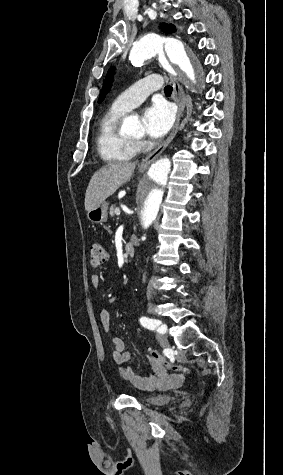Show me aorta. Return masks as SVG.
<instances>
[{
	"label": "aorta",
	"mask_w": 283,
	"mask_h": 475,
	"mask_svg": "<svg viewBox=\"0 0 283 475\" xmlns=\"http://www.w3.org/2000/svg\"><path fill=\"white\" fill-rule=\"evenodd\" d=\"M165 50L171 63L175 64L192 81L196 82L194 66L186 54L184 45L177 39L148 34L136 42L130 51V60L134 65H141L146 60L160 55L163 64L171 70L163 58ZM122 130L127 134H135L141 130L138 118L128 116L124 119ZM176 166L172 158L163 157L153 163L147 173L139 181L134 196V220L140 233L145 237L150 229L159 221L164 201L175 178Z\"/></svg>",
	"instance_id": "762f6f07"
}]
</instances>
